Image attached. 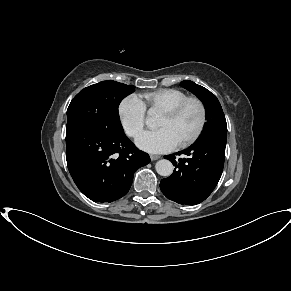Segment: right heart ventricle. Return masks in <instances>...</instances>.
<instances>
[{
    "mask_svg": "<svg viewBox=\"0 0 291 291\" xmlns=\"http://www.w3.org/2000/svg\"><path fill=\"white\" fill-rule=\"evenodd\" d=\"M143 103L151 112L163 113L174 107L188 95L178 89L166 88L142 94Z\"/></svg>",
    "mask_w": 291,
    "mask_h": 291,
    "instance_id": "1",
    "label": "right heart ventricle"
}]
</instances>
